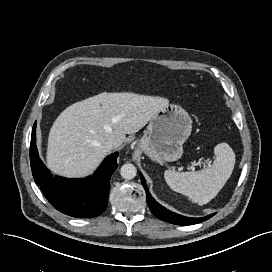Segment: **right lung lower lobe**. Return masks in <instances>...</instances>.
Listing matches in <instances>:
<instances>
[{
	"label": "right lung lower lobe",
	"mask_w": 272,
	"mask_h": 272,
	"mask_svg": "<svg viewBox=\"0 0 272 272\" xmlns=\"http://www.w3.org/2000/svg\"><path fill=\"white\" fill-rule=\"evenodd\" d=\"M118 153L106 157L97 171L83 179L53 177L40 160L36 147V122L30 143V162L35 182L47 200L60 212L76 218H92L105 211L110 179L117 168Z\"/></svg>",
	"instance_id": "right-lung-lower-lobe-1"
}]
</instances>
